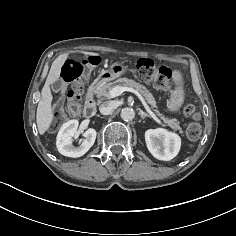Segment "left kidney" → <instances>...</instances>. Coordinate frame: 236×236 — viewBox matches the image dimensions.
<instances>
[{
    "instance_id": "5707ae66",
    "label": "left kidney",
    "mask_w": 236,
    "mask_h": 236,
    "mask_svg": "<svg viewBox=\"0 0 236 236\" xmlns=\"http://www.w3.org/2000/svg\"><path fill=\"white\" fill-rule=\"evenodd\" d=\"M145 141L150 153L156 159L163 161L176 157L181 147L180 137L162 128L147 130Z\"/></svg>"
}]
</instances>
